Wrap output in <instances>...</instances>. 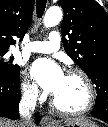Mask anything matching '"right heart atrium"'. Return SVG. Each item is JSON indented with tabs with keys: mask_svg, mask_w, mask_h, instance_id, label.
I'll return each mask as SVG.
<instances>
[{
	"mask_svg": "<svg viewBox=\"0 0 108 127\" xmlns=\"http://www.w3.org/2000/svg\"><path fill=\"white\" fill-rule=\"evenodd\" d=\"M22 95L26 100L37 101L42 98L37 85L30 81L28 78L24 77L21 84Z\"/></svg>",
	"mask_w": 108,
	"mask_h": 127,
	"instance_id": "d8ad5b80",
	"label": "right heart atrium"
}]
</instances>
